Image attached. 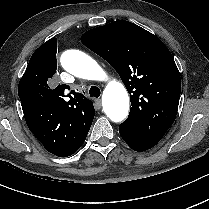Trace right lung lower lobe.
<instances>
[{
  "label": "right lung lower lobe",
  "instance_id": "right-lung-lower-lobe-1",
  "mask_svg": "<svg viewBox=\"0 0 209 209\" xmlns=\"http://www.w3.org/2000/svg\"><path fill=\"white\" fill-rule=\"evenodd\" d=\"M28 128L50 153L67 157L75 153L84 143L69 146L64 141L62 131L51 126L52 110L46 103L22 105Z\"/></svg>",
  "mask_w": 209,
  "mask_h": 209
}]
</instances>
